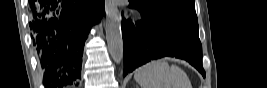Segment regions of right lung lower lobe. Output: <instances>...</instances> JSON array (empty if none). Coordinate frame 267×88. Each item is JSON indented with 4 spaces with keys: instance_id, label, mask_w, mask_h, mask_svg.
<instances>
[{
    "instance_id": "obj_1",
    "label": "right lung lower lobe",
    "mask_w": 267,
    "mask_h": 88,
    "mask_svg": "<svg viewBox=\"0 0 267 88\" xmlns=\"http://www.w3.org/2000/svg\"><path fill=\"white\" fill-rule=\"evenodd\" d=\"M32 43L48 87L81 77L85 40L104 13L105 0H29Z\"/></svg>"
}]
</instances>
